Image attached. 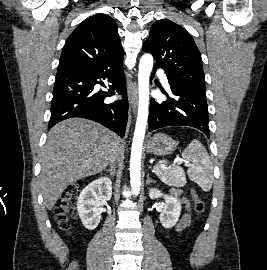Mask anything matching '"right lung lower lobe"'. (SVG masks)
Returning <instances> with one entry per match:
<instances>
[{"label":"right lung lower lobe","mask_w":267,"mask_h":270,"mask_svg":"<svg viewBox=\"0 0 267 270\" xmlns=\"http://www.w3.org/2000/svg\"><path fill=\"white\" fill-rule=\"evenodd\" d=\"M104 79L111 83L109 91L94 93V85L99 83L104 86ZM114 92L121 94L123 100L106 103L105 98ZM127 113L123 58L81 70L57 73L49 129L65 119L81 117L96 121L123 137Z\"/></svg>","instance_id":"right-lung-lower-lobe-1"}]
</instances>
